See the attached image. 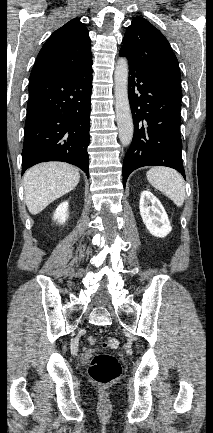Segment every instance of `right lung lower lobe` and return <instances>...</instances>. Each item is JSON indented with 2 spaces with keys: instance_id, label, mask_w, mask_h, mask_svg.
I'll return each instance as SVG.
<instances>
[{
  "instance_id": "1",
  "label": "right lung lower lobe",
  "mask_w": 213,
  "mask_h": 433,
  "mask_svg": "<svg viewBox=\"0 0 213 433\" xmlns=\"http://www.w3.org/2000/svg\"><path fill=\"white\" fill-rule=\"evenodd\" d=\"M92 72L91 63L69 76L30 79L22 174L40 162L63 161L89 177Z\"/></svg>"
}]
</instances>
